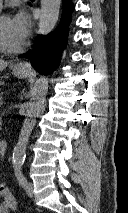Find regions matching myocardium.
<instances>
[{
  "instance_id": "1",
  "label": "myocardium",
  "mask_w": 128,
  "mask_h": 213,
  "mask_svg": "<svg viewBox=\"0 0 128 213\" xmlns=\"http://www.w3.org/2000/svg\"><path fill=\"white\" fill-rule=\"evenodd\" d=\"M4 17H6V16H1L0 19H2ZM22 49H23L22 45H20L18 47H10V46H8L4 42V40H3L2 36H1V33H0V52L12 54V53H18V52L22 51Z\"/></svg>"
}]
</instances>
